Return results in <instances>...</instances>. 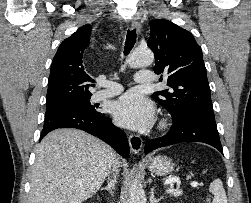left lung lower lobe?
<instances>
[{"label": "left lung lower lobe", "instance_id": "0a47b994", "mask_svg": "<svg viewBox=\"0 0 251 203\" xmlns=\"http://www.w3.org/2000/svg\"><path fill=\"white\" fill-rule=\"evenodd\" d=\"M182 142H203L223 153L215 120L197 114L173 121L166 135L146 142L145 153Z\"/></svg>", "mask_w": 251, "mask_h": 203}]
</instances>
